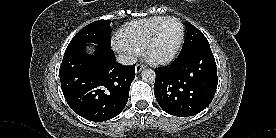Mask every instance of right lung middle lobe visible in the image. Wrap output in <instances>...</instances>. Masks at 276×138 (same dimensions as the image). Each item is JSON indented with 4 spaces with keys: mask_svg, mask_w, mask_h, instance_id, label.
<instances>
[{
    "mask_svg": "<svg viewBox=\"0 0 276 138\" xmlns=\"http://www.w3.org/2000/svg\"><path fill=\"white\" fill-rule=\"evenodd\" d=\"M110 22L111 20H99L88 24L73 37L66 50L85 46L87 43L111 47Z\"/></svg>",
    "mask_w": 276,
    "mask_h": 138,
    "instance_id": "1",
    "label": "right lung middle lobe"
}]
</instances>
